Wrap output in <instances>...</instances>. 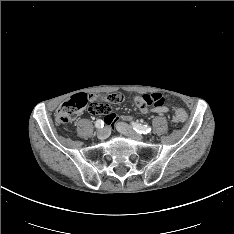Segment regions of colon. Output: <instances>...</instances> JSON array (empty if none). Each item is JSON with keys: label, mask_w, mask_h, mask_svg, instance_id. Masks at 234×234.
<instances>
[{"label": "colon", "mask_w": 234, "mask_h": 234, "mask_svg": "<svg viewBox=\"0 0 234 234\" xmlns=\"http://www.w3.org/2000/svg\"><path fill=\"white\" fill-rule=\"evenodd\" d=\"M115 94H117V93H115ZM87 97H88V95L83 94V93H79V94L72 96L67 101L63 102L58 107V109L56 110V113H55V118H56L57 122L63 124V123H68V122L73 121L77 117V115L85 107L87 108V106H88ZM113 103H119V102H113ZM96 115H99V114H96ZM186 119H187L186 112L182 109H178L175 113L174 121L175 122H183Z\"/></svg>", "instance_id": "colon-1"}]
</instances>
